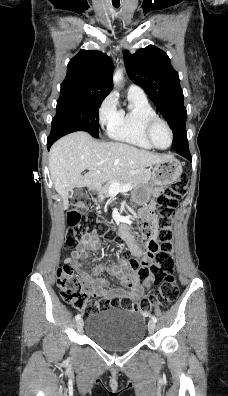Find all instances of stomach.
I'll return each mask as SVG.
<instances>
[{"label":"stomach","instance_id":"obj_1","mask_svg":"<svg viewBox=\"0 0 228 396\" xmlns=\"http://www.w3.org/2000/svg\"><path fill=\"white\" fill-rule=\"evenodd\" d=\"M148 181L135 187L131 192V199L138 205H145L151 197L153 186H164L175 182L182 173V165L175 158L170 157L164 162L157 163L150 170H146ZM94 200L103 201L100 193L94 194Z\"/></svg>","mask_w":228,"mask_h":396}]
</instances>
